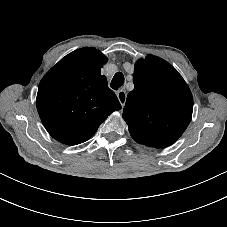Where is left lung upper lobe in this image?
I'll use <instances>...</instances> for the list:
<instances>
[{
  "label": "left lung upper lobe",
  "mask_w": 227,
  "mask_h": 227,
  "mask_svg": "<svg viewBox=\"0 0 227 227\" xmlns=\"http://www.w3.org/2000/svg\"><path fill=\"white\" fill-rule=\"evenodd\" d=\"M133 82L123 110L131 137L157 149L173 144L192 117L188 85L171 64L153 55L137 61Z\"/></svg>",
  "instance_id": "5c2ea615"
}]
</instances>
